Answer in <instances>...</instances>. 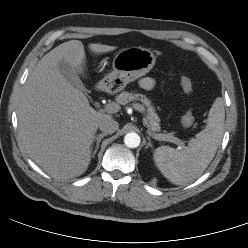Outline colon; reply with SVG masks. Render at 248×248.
Segmentation results:
<instances>
[{
  "instance_id": "obj_1",
  "label": "colon",
  "mask_w": 248,
  "mask_h": 248,
  "mask_svg": "<svg viewBox=\"0 0 248 248\" xmlns=\"http://www.w3.org/2000/svg\"><path fill=\"white\" fill-rule=\"evenodd\" d=\"M181 87L187 93L192 92V83L189 78L182 77L181 79ZM194 124V116L191 111H187L182 117V125L184 127H191Z\"/></svg>"
}]
</instances>
